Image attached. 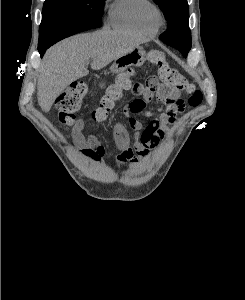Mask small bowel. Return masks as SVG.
<instances>
[{"mask_svg": "<svg viewBox=\"0 0 245 300\" xmlns=\"http://www.w3.org/2000/svg\"><path fill=\"white\" fill-rule=\"evenodd\" d=\"M130 89L132 93L141 97L138 98L144 102H149L153 98V93L149 87L140 83L132 84ZM159 101L163 108L147 125L137 119L134 115L142 110L135 111L130 103L124 107L123 114L128 120L129 129L121 123H116L113 127V136L120 154L117 156V163L137 164L149 157L152 150L160 147L166 138L169 127L174 124L176 117L184 110V103L180 99H171L165 93L158 92ZM145 107V106H144ZM151 116L150 113H146ZM84 123L79 120L72 129L73 140L84 150L87 155L95 159H100L104 154V147L94 136L83 135Z\"/></svg>", "mask_w": 245, "mask_h": 300, "instance_id": "1", "label": "small bowel"}]
</instances>
